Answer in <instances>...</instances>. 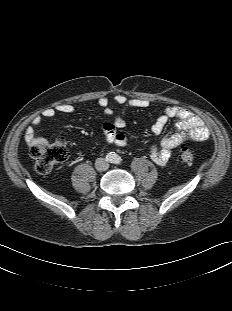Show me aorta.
<instances>
[{"mask_svg": "<svg viewBox=\"0 0 232 311\" xmlns=\"http://www.w3.org/2000/svg\"><path fill=\"white\" fill-rule=\"evenodd\" d=\"M117 159V155L116 154H109V160L110 161H115Z\"/></svg>", "mask_w": 232, "mask_h": 311, "instance_id": "1", "label": "aorta"}]
</instances>
